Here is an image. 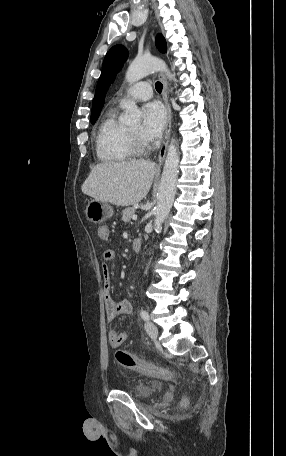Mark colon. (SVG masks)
<instances>
[{
  "instance_id": "colon-1",
  "label": "colon",
  "mask_w": 286,
  "mask_h": 456,
  "mask_svg": "<svg viewBox=\"0 0 286 456\" xmlns=\"http://www.w3.org/2000/svg\"><path fill=\"white\" fill-rule=\"evenodd\" d=\"M115 356L120 365L125 368L135 370L145 376L157 378L164 381H172L174 379V374L172 371L153 363L141 360L140 358L132 355L125 350H118Z\"/></svg>"
}]
</instances>
